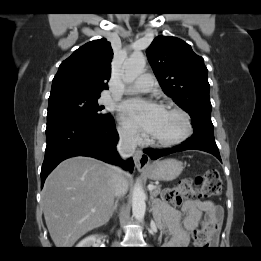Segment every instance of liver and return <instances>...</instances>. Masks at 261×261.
I'll list each match as a JSON object with an SVG mask.
<instances>
[{
  "mask_svg": "<svg viewBox=\"0 0 261 261\" xmlns=\"http://www.w3.org/2000/svg\"><path fill=\"white\" fill-rule=\"evenodd\" d=\"M128 187L132 176L123 173ZM115 197V167L89 157L60 163L42 192L44 217L57 248H71L87 232L106 224Z\"/></svg>",
  "mask_w": 261,
  "mask_h": 261,
  "instance_id": "obj_1",
  "label": "liver"
}]
</instances>
